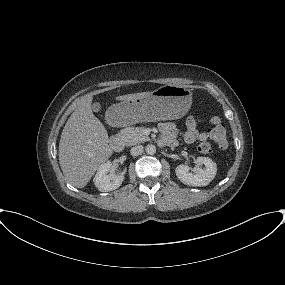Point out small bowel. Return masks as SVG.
<instances>
[{"label": "small bowel", "mask_w": 285, "mask_h": 285, "mask_svg": "<svg viewBox=\"0 0 285 285\" xmlns=\"http://www.w3.org/2000/svg\"><path fill=\"white\" fill-rule=\"evenodd\" d=\"M160 131L162 133L161 142L170 146L178 144V128L172 122H163L160 124ZM208 139V134L200 131L197 128V122L194 117H189L186 121V128L184 132V140L186 143H193L195 141L204 142Z\"/></svg>", "instance_id": "small-bowel-1"}]
</instances>
